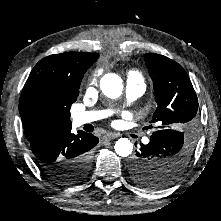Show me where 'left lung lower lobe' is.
Segmentation results:
<instances>
[{"instance_id":"left-lung-lower-lobe-1","label":"left lung lower lobe","mask_w":221,"mask_h":221,"mask_svg":"<svg viewBox=\"0 0 221 221\" xmlns=\"http://www.w3.org/2000/svg\"><path fill=\"white\" fill-rule=\"evenodd\" d=\"M173 137H175V135L172 130H169V129L159 130L152 134L150 138V142L147 145L141 144L139 151H137L135 157L130 161V164H129L130 175L133 180L140 179L143 176V173L146 172L144 170L148 168L147 157L153 154L163 141L173 140ZM154 172L155 173L153 174H156V175L153 177H158L159 171H154Z\"/></svg>"}]
</instances>
